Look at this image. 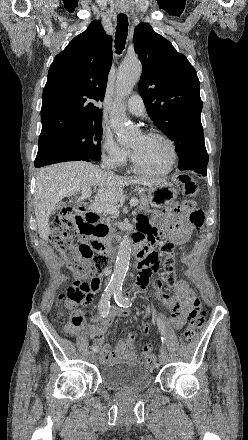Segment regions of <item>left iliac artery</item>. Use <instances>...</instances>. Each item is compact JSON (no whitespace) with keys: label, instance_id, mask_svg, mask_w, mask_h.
I'll list each match as a JSON object with an SVG mask.
<instances>
[{"label":"left iliac artery","instance_id":"left-iliac-artery-1","mask_svg":"<svg viewBox=\"0 0 248 440\" xmlns=\"http://www.w3.org/2000/svg\"><path fill=\"white\" fill-rule=\"evenodd\" d=\"M114 298H115V302L120 307L127 308L132 305V302H130V299L123 295V291H122L121 287H117L114 290ZM161 333H162L161 340L163 343H165V337L163 335V330H161Z\"/></svg>","mask_w":248,"mask_h":440}]
</instances>
